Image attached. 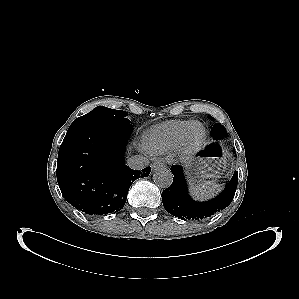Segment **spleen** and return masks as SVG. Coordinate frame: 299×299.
Returning a JSON list of instances; mask_svg holds the SVG:
<instances>
[{
  "mask_svg": "<svg viewBox=\"0 0 299 299\" xmlns=\"http://www.w3.org/2000/svg\"><path fill=\"white\" fill-rule=\"evenodd\" d=\"M219 189L220 185L212 180L204 181L203 183L197 185H192L190 191L193 197L203 200L212 197Z\"/></svg>",
  "mask_w": 299,
  "mask_h": 299,
  "instance_id": "1",
  "label": "spleen"
}]
</instances>
